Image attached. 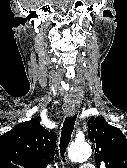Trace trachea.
<instances>
[{
    "label": "trachea",
    "instance_id": "3493384b",
    "mask_svg": "<svg viewBox=\"0 0 127 168\" xmlns=\"http://www.w3.org/2000/svg\"><path fill=\"white\" fill-rule=\"evenodd\" d=\"M76 117L77 114L73 115V116H68L66 117L63 126H62V131H61V138H60V153H61V157L63 158V161L65 156V152H66V148L70 142L71 139V134L74 130V126H75V121H76Z\"/></svg>",
    "mask_w": 127,
    "mask_h": 168
}]
</instances>
